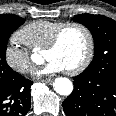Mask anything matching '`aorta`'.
I'll list each match as a JSON object with an SVG mask.
<instances>
[{
    "label": "aorta",
    "instance_id": "aorta-1",
    "mask_svg": "<svg viewBox=\"0 0 116 116\" xmlns=\"http://www.w3.org/2000/svg\"><path fill=\"white\" fill-rule=\"evenodd\" d=\"M53 87L58 94L64 96H68L69 94H71L73 90L72 82L65 77H59L55 79V82L53 83Z\"/></svg>",
    "mask_w": 116,
    "mask_h": 116
}]
</instances>
